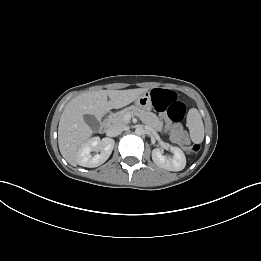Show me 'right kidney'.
<instances>
[{
  "instance_id": "obj_1",
  "label": "right kidney",
  "mask_w": 261,
  "mask_h": 261,
  "mask_svg": "<svg viewBox=\"0 0 261 261\" xmlns=\"http://www.w3.org/2000/svg\"><path fill=\"white\" fill-rule=\"evenodd\" d=\"M115 141L110 138L93 137L85 142L77 152V162L80 166L94 168L103 164L111 155ZM92 151H100L92 156Z\"/></svg>"
}]
</instances>
